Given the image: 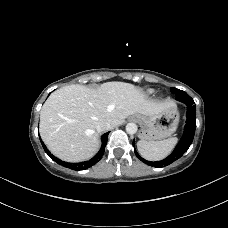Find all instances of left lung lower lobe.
Here are the masks:
<instances>
[{
  "mask_svg": "<svg viewBox=\"0 0 228 228\" xmlns=\"http://www.w3.org/2000/svg\"><path fill=\"white\" fill-rule=\"evenodd\" d=\"M176 100L183 102L184 104L187 105V113H186L187 121L184 128L183 136L180 142L178 143V145L176 146V148L174 149V151L164 160L157 161V162H150L143 159L134 149L136 156L143 163L149 166H154L159 168L168 166L169 164L178 160L192 144L194 134H195V129H196V107L194 105V100L189 95L181 98L176 97ZM133 146H134V141H133Z\"/></svg>",
  "mask_w": 228,
  "mask_h": 228,
  "instance_id": "obj_1",
  "label": "left lung lower lobe"
}]
</instances>
